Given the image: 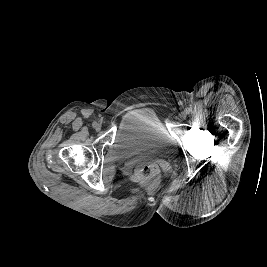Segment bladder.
<instances>
[{
  "label": "bladder",
  "mask_w": 267,
  "mask_h": 267,
  "mask_svg": "<svg viewBox=\"0 0 267 267\" xmlns=\"http://www.w3.org/2000/svg\"><path fill=\"white\" fill-rule=\"evenodd\" d=\"M169 146L166 130L156 114L147 108L128 113L121 121L112 145L117 161L163 153Z\"/></svg>",
  "instance_id": "obj_1"
}]
</instances>
